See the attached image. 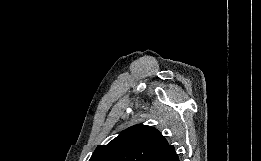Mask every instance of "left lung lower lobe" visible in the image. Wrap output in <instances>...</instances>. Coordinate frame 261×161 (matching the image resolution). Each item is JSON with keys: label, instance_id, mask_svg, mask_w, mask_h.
Here are the masks:
<instances>
[{"label": "left lung lower lobe", "instance_id": "0a47b994", "mask_svg": "<svg viewBox=\"0 0 261 161\" xmlns=\"http://www.w3.org/2000/svg\"><path fill=\"white\" fill-rule=\"evenodd\" d=\"M153 161H179L173 145H169L161 151Z\"/></svg>", "mask_w": 261, "mask_h": 161}]
</instances>
